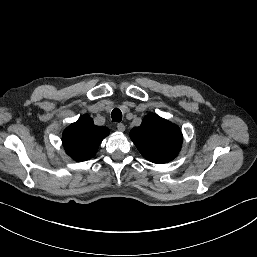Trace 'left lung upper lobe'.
I'll return each instance as SVG.
<instances>
[{"label": "left lung upper lobe", "mask_w": 257, "mask_h": 257, "mask_svg": "<svg viewBox=\"0 0 257 257\" xmlns=\"http://www.w3.org/2000/svg\"><path fill=\"white\" fill-rule=\"evenodd\" d=\"M130 137L140 153L154 163L173 160L183 140L177 125L154 113L145 116L141 125L130 131Z\"/></svg>", "instance_id": "left-lung-upper-lobe-1"}]
</instances>
